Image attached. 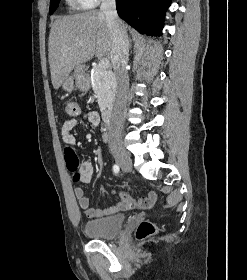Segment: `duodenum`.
I'll list each match as a JSON object with an SVG mask.
<instances>
[{"label":"duodenum","mask_w":247,"mask_h":280,"mask_svg":"<svg viewBox=\"0 0 247 280\" xmlns=\"http://www.w3.org/2000/svg\"><path fill=\"white\" fill-rule=\"evenodd\" d=\"M112 116H113V112L111 108H106L104 109L103 113H102V117H103V121L106 124H111L112 122Z\"/></svg>","instance_id":"duodenum-1"}]
</instances>
